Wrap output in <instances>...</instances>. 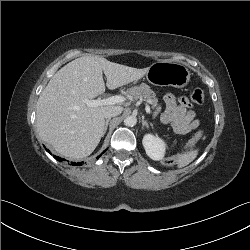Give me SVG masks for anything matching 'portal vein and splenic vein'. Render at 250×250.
I'll list each match as a JSON object with an SVG mask.
<instances>
[{
	"label": "portal vein and splenic vein",
	"mask_w": 250,
	"mask_h": 250,
	"mask_svg": "<svg viewBox=\"0 0 250 250\" xmlns=\"http://www.w3.org/2000/svg\"><path fill=\"white\" fill-rule=\"evenodd\" d=\"M124 101H125V98L120 95L111 96L105 99H97V100L84 99V102L88 107L114 105V104L123 103ZM145 110L147 114H150L151 111H150L149 105L146 106Z\"/></svg>",
	"instance_id": "portal-vein-and-splenic-vein-1"
}]
</instances>
